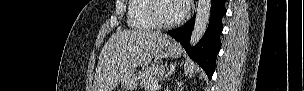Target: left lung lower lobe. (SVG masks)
<instances>
[{
	"label": "left lung lower lobe",
	"instance_id": "0a47b994",
	"mask_svg": "<svg viewBox=\"0 0 304 91\" xmlns=\"http://www.w3.org/2000/svg\"><path fill=\"white\" fill-rule=\"evenodd\" d=\"M226 0L211 1V16L208 28L196 47L190 48L189 41L194 27L195 16L183 27L170 30L168 34L180 42L190 58L197 62L211 79L215 70L217 54L220 51V34L223 30L222 17L226 14Z\"/></svg>",
	"mask_w": 304,
	"mask_h": 91
}]
</instances>
